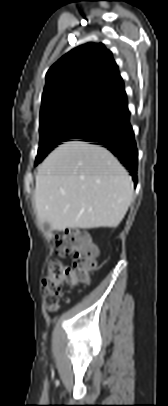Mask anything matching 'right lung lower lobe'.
<instances>
[{
	"label": "right lung lower lobe",
	"instance_id": "obj_1",
	"mask_svg": "<svg viewBox=\"0 0 168 406\" xmlns=\"http://www.w3.org/2000/svg\"><path fill=\"white\" fill-rule=\"evenodd\" d=\"M111 117L104 124L80 137L82 141L102 145L114 154L129 170L134 183H137V148L134 132L129 122L126 93L109 104Z\"/></svg>",
	"mask_w": 168,
	"mask_h": 406
}]
</instances>
